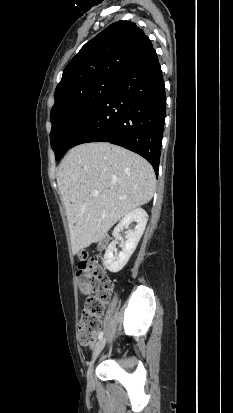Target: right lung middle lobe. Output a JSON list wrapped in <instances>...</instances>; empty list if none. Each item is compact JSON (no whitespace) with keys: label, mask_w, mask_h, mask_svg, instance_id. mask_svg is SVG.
<instances>
[{"label":"right lung middle lobe","mask_w":233,"mask_h":413,"mask_svg":"<svg viewBox=\"0 0 233 413\" xmlns=\"http://www.w3.org/2000/svg\"><path fill=\"white\" fill-rule=\"evenodd\" d=\"M114 77L99 78L55 100L50 119L51 147L59 160L71 147L77 135L101 105L114 82Z\"/></svg>","instance_id":"obj_1"}]
</instances>
